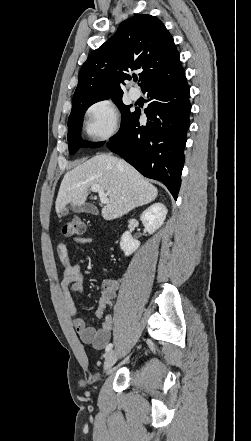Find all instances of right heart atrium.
Masks as SVG:
<instances>
[{"instance_id": "obj_1", "label": "right heart atrium", "mask_w": 251, "mask_h": 441, "mask_svg": "<svg viewBox=\"0 0 251 441\" xmlns=\"http://www.w3.org/2000/svg\"><path fill=\"white\" fill-rule=\"evenodd\" d=\"M85 130L93 141H104L119 129V111L111 99H101L88 107L85 113Z\"/></svg>"}]
</instances>
